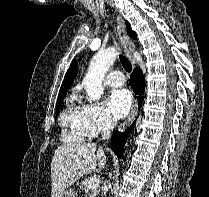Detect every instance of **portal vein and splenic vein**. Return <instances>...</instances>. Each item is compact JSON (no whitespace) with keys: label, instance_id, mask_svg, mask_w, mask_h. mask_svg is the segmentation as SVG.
<instances>
[{"label":"portal vein and splenic vein","instance_id":"obj_1","mask_svg":"<svg viewBox=\"0 0 209 197\" xmlns=\"http://www.w3.org/2000/svg\"><path fill=\"white\" fill-rule=\"evenodd\" d=\"M99 185V179L98 178H92L88 182V189H94Z\"/></svg>","mask_w":209,"mask_h":197}]
</instances>
